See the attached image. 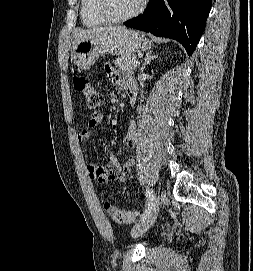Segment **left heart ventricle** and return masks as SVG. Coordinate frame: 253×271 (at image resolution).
Returning a JSON list of instances; mask_svg holds the SVG:
<instances>
[{
	"mask_svg": "<svg viewBox=\"0 0 253 271\" xmlns=\"http://www.w3.org/2000/svg\"><path fill=\"white\" fill-rule=\"evenodd\" d=\"M112 12L118 16L132 12L140 4L141 0H109Z\"/></svg>",
	"mask_w": 253,
	"mask_h": 271,
	"instance_id": "obj_1",
	"label": "left heart ventricle"
}]
</instances>
